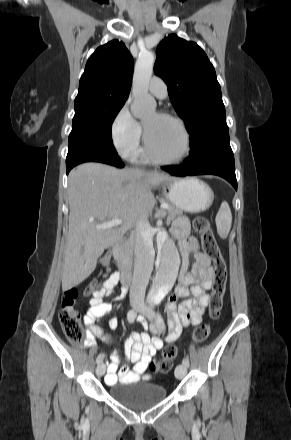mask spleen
I'll list each match as a JSON object with an SVG mask.
<instances>
[{
	"mask_svg": "<svg viewBox=\"0 0 291 440\" xmlns=\"http://www.w3.org/2000/svg\"><path fill=\"white\" fill-rule=\"evenodd\" d=\"M217 232L222 239L228 236L231 229L232 214L229 204L226 201L221 203L220 209L216 215Z\"/></svg>",
	"mask_w": 291,
	"mask_h": 440,
	"instance_id": "1",
	"label": "spleen"
}]
</instances>
